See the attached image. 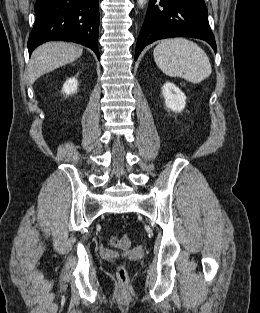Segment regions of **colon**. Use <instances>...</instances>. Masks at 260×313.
I'll return each instance as SVG.
<instances>
[{
  "instance_id": "5ec220e1",
  "label": "colon",
  "mask_w": 260,
  "mask_h": 313,
  "mask_svg": "<svg viewBox=\"0 0 260 313\" xmlns=\"http://www.w3.org/2000/svg\"><path fill=\"white\" fill-rule=\"evenodd\" d=\"M111 244L119 249H128L130 247V240L126 236L112 237L110 240ZM117 278L121 283H125L128 278V272L126 266L121 264L117 269Z\"/></svg>"
}]
</instances>
